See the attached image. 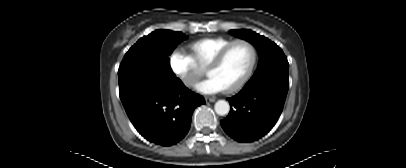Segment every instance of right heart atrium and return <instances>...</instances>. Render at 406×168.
<instances>
[{
    "label": "right heart atrium",
    "mask_w": 406,
    "mask_h": 168,
    "mask_svg": "<svg viewBox=\"0 0 406 168\" xmlns=\"http://www.w3.org/2000/svg\"><path fill=\"white\" fill-rule=\"evenodd\" d=\"M169 64L181 82L192 87L203 71L199 65L184 50L176 49L169 56Z\"/></svg>",
    "instance_id": "1"
}]
</instances>
